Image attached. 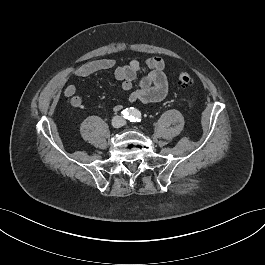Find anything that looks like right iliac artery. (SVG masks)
<instances>
[{
	"label": "right iliac artery",
	"mask_w": 265,
	"mask_h": 265,
	"mask_svg": "<svg viewBox=\"0 0 265 265\" xmlns=\"http://www.w3.org/2000/svg\"><path fill=\"white\" fill-rule=\"evenodd\" d=\"M123 114V117L128 119L131 117V110L130 109H125L124 111L121 112Z\"/></svg>",
	"instance_id": "1"
}]
</instances>
